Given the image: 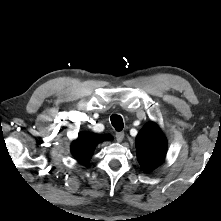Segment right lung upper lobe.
<instances>
[{
  "label": "right lung upper lobe",
  "instance_id": "right-lung-upper-lobe-1",
  "mask_svg": "<svg viewBox=\"0 0 221 221\" xmlns=\"http://www.w3.org/2000/svg\"><path fill=\"white\" fill-rule=\"evenodd\" d=\"M110 139H112V136L110 135L83 133L72 143V154L78 161L85 163L91 157L93 150L98 143Z\"/></svg>",
  "mask_w": 221,
  "mask_h": 221
}]
</instances>
